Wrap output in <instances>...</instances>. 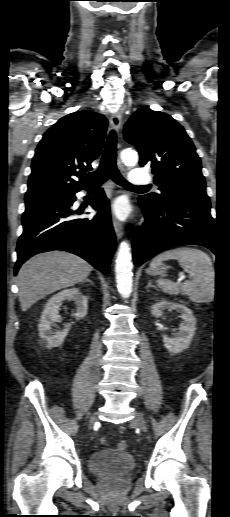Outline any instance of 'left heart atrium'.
Returning a JSON list of instances; mask_svg holds the SVG:
<instances>
[{"mask_svg": "<svg viewBox=\"0 0 230 517\" xmlns=\"http://www.w3.org/2000/svg\"><path fill=\"white\" fill-rule=\"evenodd\" d=\"M114 212L120 218H125L128 215V204L124 200H118L114 204Z\"/></svg>", "mask_w": 230, "mask_h": 517, "instance_id": "left-heart-atrium-1", "label": "left heart atrium"}]
</instances>
